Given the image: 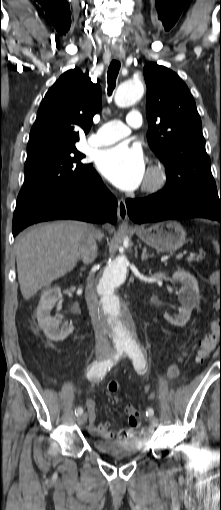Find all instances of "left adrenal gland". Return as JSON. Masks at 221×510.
<instances>
[{
  "mask_svg": "<svg viewBox=\"0 0 221 510\" xmlns=\"http://www.w3.org/2000/svg\"><path fill=\"white\" fill-rule=\"evenodd\" d=\"M154 255H150L147 253V249L146 247L143 248L142 250V254H141V260L144 261L146 259H148L149 257H153Z\"/></svg>",
  "mask_w": 221,
  "mask_h": 510,
  "instance_id": "obj_1",
  "label": "left adrenal gland"
}]
</instances>
